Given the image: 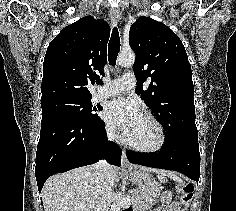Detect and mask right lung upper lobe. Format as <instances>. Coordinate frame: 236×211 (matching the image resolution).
I'll return each mask as SVG.
<instances>
[{"label":"right lung upper lobe","mask_w":236,"mask_h":211,"mask_svg":"<svg viewBox=\"0 0 236 211\" xmlns=\"http://www.w3.org/2000/svg\"><path fill=\"white\" fill-rule=\"evenodd\" d=\"M110 27L86 16L51 41L43 63L41 104L58 98H91L88 82L101 83Z\"/></svg>","instance_id":"1"}]
</instances>
